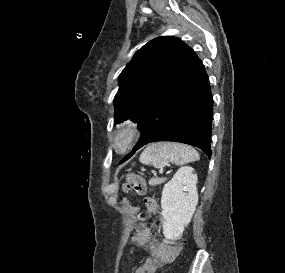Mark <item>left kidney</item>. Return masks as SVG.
I'll return each instance as SVG.
<instances>
[{
	"mask_svg": "<svg viewBox=\"0 0 285 273\" xmlns=\"http://www.w3.org/2000/svg\"><path fill=\"white\" fill-rule=\"evenodd\" d=\"M189 166L180 168L163 188L162 226L168 240H178L195 212L198 203L197 175Z\"/></svg>",
	"mask_w": 285,
	"mask_h": 273,
	"instance_id": "5707ae66",
	"label": "left kidney"
}]
</instances>
